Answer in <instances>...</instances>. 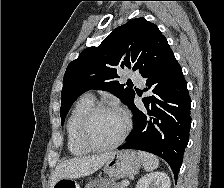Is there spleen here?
<instances>
[{
	"label": "spleen",
	"instance_id": "1",
	"mask_svg": "<svg viewBox=\"0 0 224 188\" xmlns=\"http://www.w3.org/2000/svg\"><path fill=\"white\" fill-rule=\"evenodd\" d=\"M138 154L146 171H153L158 168L159 159L156 156L143 151H139Z\"/></svg>",
	"mask_w": 224,
	"mask_h": 188
}]
</instances>
